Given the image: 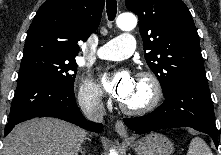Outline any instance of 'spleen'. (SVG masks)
I'll return each mask as SVG.
<instances>
[{
  "label": "spleen",
  "instance_id": "1",
  "mask_svg": "<svg viewBox=\"0 0 221 155\" xmlns=\"http://www.w3.org/2000/svg\"><path fill=\"white\" fill-rule=\"evenodd\" d=\"M187 155H213L209 146L200 137H194L189 145Z\"/></svg>",
  "mask_w": 221,
  "mask_h": 155
}]
</instances>
